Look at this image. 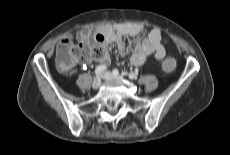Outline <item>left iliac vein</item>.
Segmentation results:
<instances>
[{"instance_id": "left-iliac-vein-1", "label": "left iliac vein", "mask_w": 230, "mask_h": 155, "mask_svg": "<svg viewBox=\"0 0 230 155\" xmlns=\"http://www.w3.org/2000/svg\"><path fill=\"white\" fill-rule=\"evenodd\" d=\"M105 80L120 79L121 77H115L111 72H104L102 75Z\"/></svg>"}]
</instances>
